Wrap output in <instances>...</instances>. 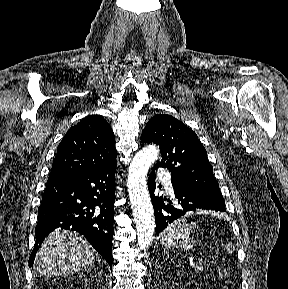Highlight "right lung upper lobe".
Wrapping results in <instances>:
<instances>
[{
  "mask_svg": "<svg viewBox=\"0 0 288 289\" xmlns=\"http://www.w3.org/2000/svg\"><path fill=\"white\" fill-rule=\"evenodd\" d=\"M116 160L115 137L99 115L70 128L58 146L48 180L96 170Z\"/></svg>",
  "mask_w": 288,
  "mask_h": 289,
  "instance_id": "obj_1",
  "label": "right lung upper lobe"
}]
</instances>
